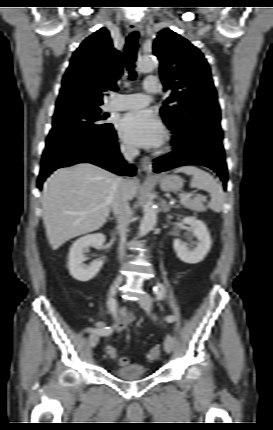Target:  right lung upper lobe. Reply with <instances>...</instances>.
Returning a JSON list of instances; mask_svg holds the SVG:
<instances>
[{
	"mask_svg": "<svg viewBox=\"0 0 273 430\" xmlns=\"http://www.w3.org/2000/svg\"><path fill=\"white\" fill-rule=\"evenodd\" d=\"M122 67V55L113 48L109 32L99 29L73 53L56 107L75 100L101 105L106 91L117 90Z\"/></svg>",
	"mask_w": 273,
	"mask_h": 430,
	"instance_id": "cb5924a9",
	"label": "right lung upper lobe"
}]
</instances>
